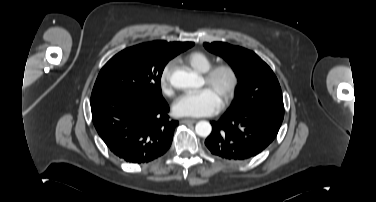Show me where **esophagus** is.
Returning a JSON list of instances; mask_svg holds the SVG:
<instances>
[{"label": "esophagus", "instance_id": "esophagus-1", "mask_svg": "<svg viewBox=\"0 0 376 202\" xmlns=\"http://www.w3.org/2000/svg\"><path fill=\"white\" fill-rule=\"evenodd\" d=\"M181 122L185 123V124H193V123L196 122V120H194V119H182Z\"/></svg>", "mask_w": 376, "mask_h": 202}]
</instances>
